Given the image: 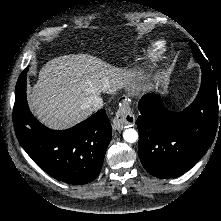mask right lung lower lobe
<instances>
[{"instance_id":"98d812e1","label":"right lung lower lobe","mask_w":221,"mask_h":221,"mask_svg":"<svg viewBox=\"0 0 221 221\" xmlns=\"http://www.w3.org/2000/svg\"><path fill=\"white\" fill-rule=\"evenodd\" d=\"M26 71L20 75L15 90L13 122L18 141L45 172L68 184L93 181L100 173L112 135L104 109L76 126L55 131L39 123L26 100Z\"/></svg>"}]
</instances>
